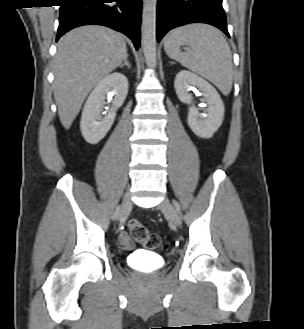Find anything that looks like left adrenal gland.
Returning <instances> with one entry per match:
<instances>
[{
  "label": "left adrenal gland",
  "instance_id": "1",
  "mask_svg": "<svg viewBox=\"0 0 304 329\" xmlns=\"http://www.w3.org/2000/svg\"><path fill=\"white\" fill-rule=\"evenodd\" d=\"M174 62H170V64L172 65Z\"/></svg>",
  "mask_w": 304,
  "mask_h": 329
}]
</instances>
